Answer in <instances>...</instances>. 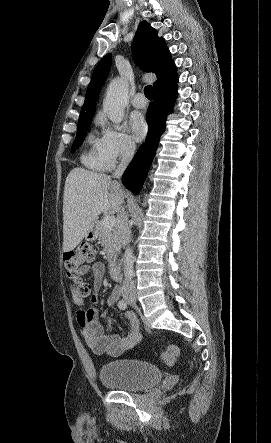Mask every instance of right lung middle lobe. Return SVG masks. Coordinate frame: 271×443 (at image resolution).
<instances>
[{"mask_svg": "<svg viewBox=\"0 0 271 443\" xmlns=\"http://www.w3.org/2000/svg\"><path fill=\"white\" fill-rule=\"evenodd\" d=\"M92 118L93 117L79 119L78 126H77L76 138H75V141L72 145V152H74L76 149H78L81 146V144L83 143L87 129L92 122Z\"/></svg>", "mask_w": 271, "mask_h": 443, "instance_id": "1", "label": "right lung middle lobe"}]
</instances>
